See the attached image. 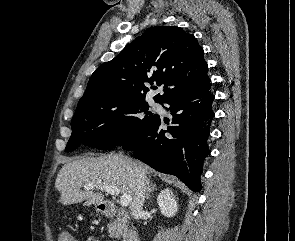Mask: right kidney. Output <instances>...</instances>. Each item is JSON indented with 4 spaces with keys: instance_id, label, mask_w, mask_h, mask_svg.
<instances>
[{
    "instance_id": "right-kidney-1",
    "label": "right kidney",
    "mask_w": 295,
    "mask_h": 241,
    "mask_svg": "<svg viewBox=\"0 0 295 241\" xmlns=\"http://www.w3.org/2000/svg\"><path fill=\"white\" fill-rule=\"evenodd\" d=\"M157 203L160 207L161 213L165 217H173L178 211V204L175 200V196L168 188L159 193Z\"/></svg>"
}]
</instances>
